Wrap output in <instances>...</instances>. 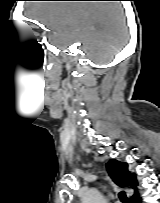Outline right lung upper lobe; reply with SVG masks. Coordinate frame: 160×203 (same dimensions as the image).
I'll return each mask as SVG.
<instances>
[{
    "mask_svg": "<svg viewBox=\"0 0 160 203\" xmlns=\"http://www.w3.org/2000/svg\"><path fill=\"white\" fill-rule=\"evenodd\" d=\"M106 167L115 184L122 188L130 187L135 190L134 195L130 198V203H136L139 198L137 193L138 184L135 174L128 171V164L111 159Z\"/></svg>",
    "mask_w": 160,
    "mask_h": 203,
    "instance_id": "obj_1",
    "label": "right lung upper lobe"
}]
</instances>
